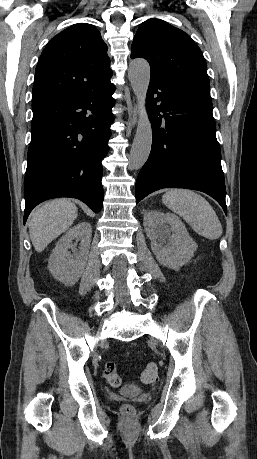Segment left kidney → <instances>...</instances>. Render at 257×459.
I'll list each match as a JSON object with an SVG mask.
<instances>
[{"label": "left kidney", "instance_id": "1", "mask_svg": "<svg viewBox=\"0 0 257 459\" xmlns=\"http://www.w3.org/2000/svg\"><path fill=\"white\" fill-rule=\"evenodd\" d=\"M144 230L160 264L178 270L194 256L197 244L190 237L185 224L175 214L158 210L146 213Z\"/></svg>", "mask_w": 257, "mask_h": 459}]
</instances>
